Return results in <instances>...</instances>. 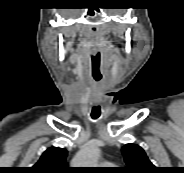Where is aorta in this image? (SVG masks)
Instances as JSON below:
<instances>
[{
  "label": "aorta",
  "instance_id": "obj_1",
  "mask_svg": "<svg viewBox=\"0 0 184 173\" xmlns=\"http://www.w3.org/2000/svg\"><path fill=\"white\" fill-rule=\"evenodd\" d=\"M98 156V146L95 143H90L76 156L74 164L81 165L79 167H96Z\"/></svg>",
  "mask_w": 184,
  "mask_h": 173
}]
</instances>
